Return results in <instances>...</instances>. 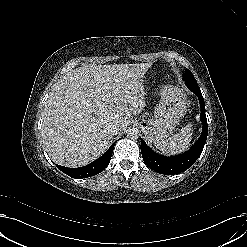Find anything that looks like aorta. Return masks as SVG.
Returning <instances> with one entry per match:
<instances>
[{"mask_svg": "<svg viewBox=\"0 0 247 247\" xmlns=\"http://www.w3.org/2000/svg\"><path fill=\"white\" fill-rule=\"evenodd\" d=\"M126 135L130 139H137L139 137V130L135 127L128 128L126 131Z\"/></svg>", "mask_w": 247, "mask_h": 247, "instance_id": "obj_1", "label": "aorta"}]
</instances>
